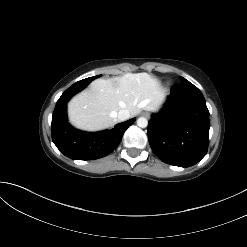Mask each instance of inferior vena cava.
Returning a JSON list of instances; mask_svg holds the SVG:
<instances>
[{"label":"inferior vena cava","mask_w":247,"mask_h":247,"mask_svg":"<svg viewBox=\"0 0 247 247\" xmlns=\"http://www.w3.org/2000/svg\"><path fill=\"white\" fill-rule=\"evenodd\" d=\"M130 118V112L128 110L122 109L117 113V119L119 121H125Z\"/></svg>","instance_id":"obj_1"}]
</instances>
